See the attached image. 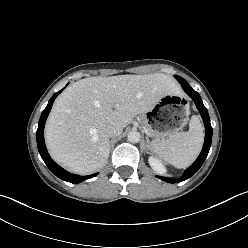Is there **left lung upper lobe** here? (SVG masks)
Wrapping results in <instances>:
<instances>
[{
  "label": "left lung upper lobe",
  "instance_id": "1",
  "mask_svg": "<svg viewBox=\"0 0 248 248\" xmlns=\"http://www.w3.org/2000/svg\"><path fill=\"white\" fill-rule=\"evenodd\" d=\"M175 78L179 81V83L180 84H188L187 82H186V80H184L183 78H181V77H179V76H175Z\"/></svg>",
  "mask_w": 248,
  "mask_h": 248
}]
</instances>
